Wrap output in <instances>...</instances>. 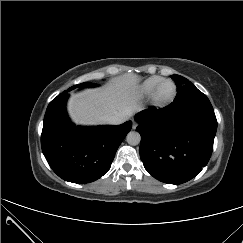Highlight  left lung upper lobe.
Returning <instances> with one entry per match:
<instances>
[{"instance_id":"obj_1","label":"left lung upper lobe","mask_w":243,"mask_h":243,"mask_svg":"<svg viewBox=\"0 0 243 243\" xmlns=\"http://www.w3.org/2000/svg\"><path fill=\"white\" fill-rule=\"evenodd\" d=\"M171 78L175 81L178 88L186 86L189 89V94L194 96L187 104V110L193 113L214 114L213 107L207 96L199 91L190 81L180 75H172Z\"/></svg>"}]
</instances>
